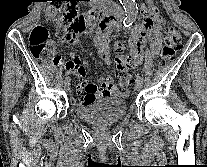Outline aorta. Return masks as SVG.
Wrapping results in <instances>:
<instances>
[{
  "mask_svg": "<svg viewBox=\"0 0 207 167\" xmlns=\"http://www.w3.org/2000/svg\"><path fill=\"white\" fill-rule=\"evenodd\" d=\"M125 10V18L123 20V25L129 27L133 24L136 19L138 10L135 0H120Z\"/></svg>",
  "mask_w": 207,
  "mask_h": 167,
  "instance_id": "aorta-1",
  "label": "aorta"
}]
</instances>
